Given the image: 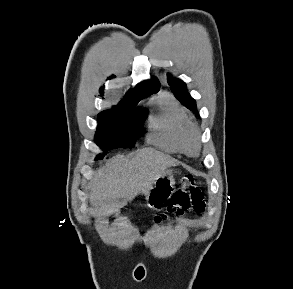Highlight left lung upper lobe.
I'll list each match as a JSON object with an SVG mask.
<instances>
[{"label":"left lung upper lobe","instance_id":"1","mask_svg":"<svg viewBox=\"0 0 293 289\" xmlns=\"http://www.w3.org/2000/svg\"><path fill=\"white\" fill-rule=\"evenodd\" d=\"M170 89L174 93L175 97L188 109L196 112V102L189 95L186 89V84L179 79H171V75H168Z\"/></svg>","mask_w":293,"mask_h":289}]
</instances>
